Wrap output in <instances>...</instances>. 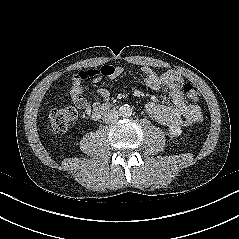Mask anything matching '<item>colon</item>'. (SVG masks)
<instances>
[{
  "label": "colon",
  "mask_w": 239,
  "mask_h": 239,
  "mask_svg": "<svg viewBox=\"0 0 239 239\" xmlns=\"http://www.w3.org/2000/svg\"><path fill=\"white\" fill-rule=\"evenodd\" d=\"M183 92L191 103H197L200 99V92L191 83H185L182 87ZM76 118V111L71 107L54 109L49 115L50 129L53 134L65 133Z\"/></svg>",
  "instance_id": "1"
}]
</instances>
